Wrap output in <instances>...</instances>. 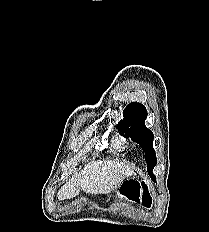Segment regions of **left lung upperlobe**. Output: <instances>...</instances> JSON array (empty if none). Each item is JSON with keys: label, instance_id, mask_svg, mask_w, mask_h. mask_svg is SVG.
Segmentation results:
<instances>
[{"label": "left lung upper lobe", "instance_id": "obj_1", "mask_svg": "<svg viewBox=\"0 0 209 232\" xmlns=\"http://www.w3.org/2000/svg\"><path fill=\"white\" fill-rule=\"evenodd\" d=\"M147 118V110L141 103H130L124 109L123 120L117 127L122 130L125 137H130L132 141L138 143L145 152V161L147 163V171L152 180L156 181V177L152 173L156 166L157 159L153 148L154 135L151 130L145 126Z\"/></svg>", "mask_w": 209, "mask_h": 232}]
</instances>
